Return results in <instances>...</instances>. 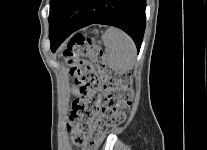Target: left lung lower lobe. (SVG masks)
Returning a JSON list of instances; mask_svg holds the SVG:
<instances>
[{"label": "left lung lower lobe", "mask_w": 207, "mask_h": 150, "mask_svg": "<svg viewBox=\"0 0 207 150\" xmlns=\"http://www.w3.org/2000/svg\"><path fill=\"white\" fill-rule=\"evenodd\" d=\"M146 0H68L49 29L51 50L74 31L90 24H104L124 30L139 52L145 30Z\"/></svg>", "instance_id": "left-lung-lower-lobe-1"}]
</instances>
